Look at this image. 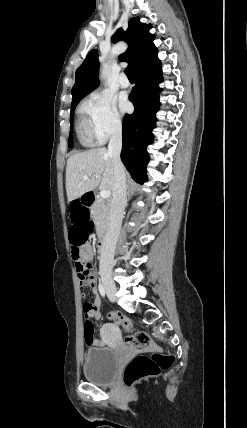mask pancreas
Instances as JSON below:
<instances>
[{"instance_id":"pancreas-1","label":"pancreas","mask_w":247,"mask_h":428,"mask_svg":"<svg viewBox=\"0 0 247 428\" xmlns=\"http://www.w3.org/2000/svg\"><path fill=\"white\" fill-rule=\"evenodd\" d=\"M92 215L95 220L97 230L106 228L109 220V203L102 198H98L92 207Z\"/></svg>"}]
</instances>
